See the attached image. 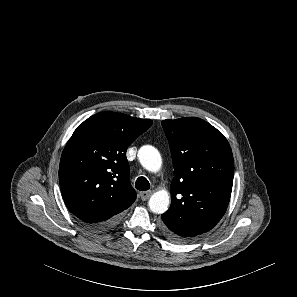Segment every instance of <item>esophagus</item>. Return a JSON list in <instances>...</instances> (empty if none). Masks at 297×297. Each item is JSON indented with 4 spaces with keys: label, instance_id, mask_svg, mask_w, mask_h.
<instances>
[{
    "label": "esophagus",
    "instance_id": "1",
    "mask_svg": "<svg viewBox=\"0 0 297 297\" xmlns=\"http://www.w3.org/2000/svg\"><path fill=\"white\" fill-rule=\"evenodd\" d=\"M151 194H152V192L150 190L149 191L140 192V198L143 201H146L151 196Z\"/></svg>",
    "mask_w": 297,
    "mask_h": 297
}]
</instances>
